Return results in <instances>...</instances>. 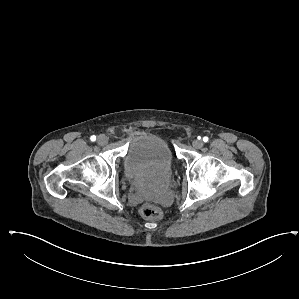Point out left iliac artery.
I'll return each mask as SVG.
<instances>
[{"label": "left iliac artery", "instance_id": "44dca946", "mask_svg": "<svg viewBox=\"0 0 299 299\" xmlns=\"http://www.w3.org/2000/svg\"><path fill=\"white\" fill-rule=\"evenodd\" d=\"M208 140H209L208 137H206V136L203 137V141H204V142H208Z\"/></svg>", "mask_w": 299, "mask_h": 299}]
</instances>
